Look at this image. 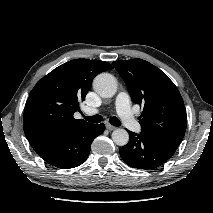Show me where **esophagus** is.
Here are the masks:
<instances>
[{
  "label": "esophagus",
  "instance_id": "1",
  "mask_svg": "<svg viewBox=\"0 0 213 213\" xmlns=\"http://www.w3.org/2000/svg\"><path fill=\"white\" fill-rule=\"evenodd\" d=\"M106 128L109 130V131H113L116 129L115 126H112L111 124H106Z\"/></svg>",
  "mask_w": 213,
  "mask_h": 213
}]
</instances>
